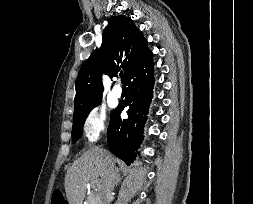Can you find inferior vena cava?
Instances as JSON below:
<instances>
[{"instance_id": "obj_1", "label": "inferior vena cava", "mask_w": 253, "mask_h": 204, "mask_svg": "<svg viewBox=\"0 0 253 204\" xmlns=\"http://www.w3.org/2000/svg\"><path fill=\"white\" fill-rule=\"evenodd\" d=\"M106 174L99 189L100 204H108V199L116 184V168L109 157H106Z\"/></svg>"}]
</instances>
